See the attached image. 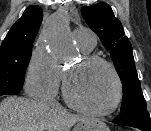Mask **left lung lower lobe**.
<instances>
[{
	"instance_id": "0a47b994",
	"label": "left lung lower lobe",
	"mask_w": 151,
	"mask_h": 131,
	"mask_svg": "<svg viewBox=\"0 0 151 131\" xmlns=\"http://www.w3.org/2000/svg\"><path fill=\"white\" fill-rule=\"evenodd\" d=\"M115 124L138 128L142 131H151V119L146 108H134L123 112L113 121Z\"/></svg>"
}]
</instances>
